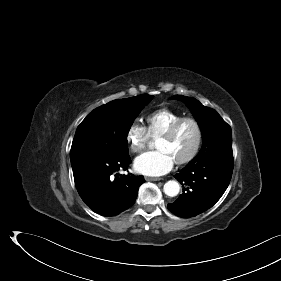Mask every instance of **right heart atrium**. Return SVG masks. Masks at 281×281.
<instances>
[{"label":"right heart atrium","mask_w":281,"mask_h":281,"mask_svg":"<svg viewBox=\"0 0 281 281\" xmlns=\"http://www.w3.org/2000/svg\"><path fill=\"white\" fill-rule=\"evenodd\" d=\"M150 140V134L144 125L134 122L128 127L126 141L131 152H142L148 146Z\"/></svg>","instance_id":"d8ad5b80"}]
</instances>
